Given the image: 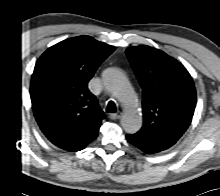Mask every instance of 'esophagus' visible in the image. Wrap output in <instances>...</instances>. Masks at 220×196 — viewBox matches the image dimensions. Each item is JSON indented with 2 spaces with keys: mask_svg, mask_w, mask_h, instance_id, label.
<instances>
[{
  "mask_svg": "<svg viewBox=\"0 0 220 196\" xmlns=\"http://www.w3.org/2000/svg\"><path fill=\"white\" fill-rule=\"evenodd\" d=\"M122 113L121 112H118V113H114V114H111L110 115V119L112 120H117L121 117Z\"/></svg>",
  "mask_w": 220,
  "mask_h": 196,
  "instance_id": "obj_1",
  "label": "esophagus"
}]
</instances>
